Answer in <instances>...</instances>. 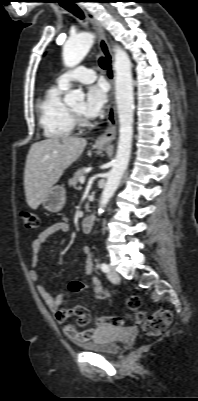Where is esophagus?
Returning a JSON list of instances; mask_svg holds the SVG:
<instances>
[{
	"mask_svg": "<svg viewBox=\"0 0 198 401\" xmlns=\"http://www.w3.org/2000/svg\"><path fill=\"white\" fill-rule=\"evenodd\" d=\"M81 9L84 11L86 14L88 20L92 24L93 28L98 34V40H99V47L103 55L105 56L106 60L108 61V70H107V78L111 84V92H110V97H109V104L107 107V113H106V122H107V127L104 133H102L99 137L96 139V144L98 145H107L110 144L116 135V125H117V119H116V106H115V101H114V79H115V74H114V65H113V55L112 51L110 48V45L108 43L106 33L104 31V28L102 27L101 23L96 19L94 14L90 12L85 6L79 4Z\"/></svg>",
	"mask_w": 198,
	"mask_h": 401,
	"instance_id": "34e87169",
	"label": "esophagus"
}]
</instances>
